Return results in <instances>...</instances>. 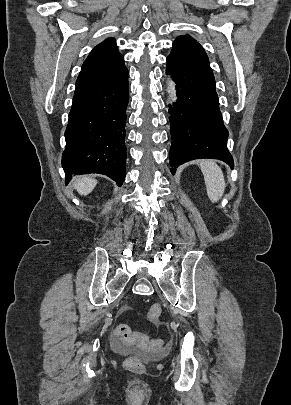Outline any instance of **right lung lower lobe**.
I'll list each match as a JSON object with an SVG mask.
<instances>
[{"label": "right lung lower lobe", "mask_w": 291, "mask_h": 405, "mask_svg": "<svg viewBox=\"0 0 291 405\" xmlns=\"http://www.w3.org/2000/svg\"><path fill=\"white\" fill-rule=\"evenodd\" d=\"M128 100V70L74 93L62 155L66 184L72 175L88 173L107 175L118 186L123 184Z\"/></svg>", "instance_id": "right-lung-lower-lobe-1"}]
</instances>
